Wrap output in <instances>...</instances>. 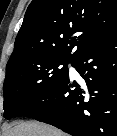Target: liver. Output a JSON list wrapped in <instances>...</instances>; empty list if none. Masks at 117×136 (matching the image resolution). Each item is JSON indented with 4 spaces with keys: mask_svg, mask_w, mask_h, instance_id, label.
Returning a JSON list of instances; mask_svg holds the SVG:
<instances>
[{
    "mask_svg": "<svg viewBox=\"0 0 117 136\" xmlns=\"http://www.w3.org/2000/svg\"><path fill=\"white\" fill-rule=\"evenodd\" d=\"M4 136H68L62 131L39 122H25L8 127Z\"/></svg>",
    "mask_w": 117,
    "mask_h": 136,
    "instance_id": "1",
    "label": "liver"
}]
</instances>
